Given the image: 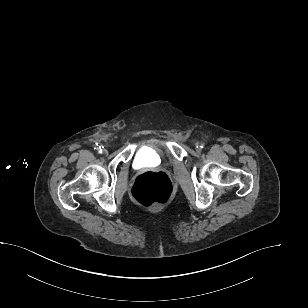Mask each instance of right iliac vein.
Listing matches in <instances>:
<instances>
[{
	"label": "right iliac vein",
	"instance_id": "obj_1",
	"mask_svg": "<svg viewBox=\"0 0 308 308\" xmlns=\"http://www.w3.org/2000/svg\"><path fill=\"white\" fill-rule=\"evenodd\" d=\"M103 153H107V150L104 149V150H103Z\"/></svg>",
	"mask_w": 308,
	"mask_h": 308
}]
</instances>
